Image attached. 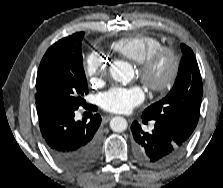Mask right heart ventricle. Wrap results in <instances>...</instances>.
Masks as SVG:
<instances>
[{"instance_id":"1","label":"right heart ventricle","mask_w":223,"mask_h":188,"mask_svg":"<svg viewBox=\"0 0 223 188\" xmlns=\"http://www.w3.org/2000/svg\"><path fill=\"white\" fill-rule=\"evenodd\" d=\"M161 46V40L155 36L132 35L115 40L110 48L119 55L139 63Z\"/></svg>"}]
</instances>
